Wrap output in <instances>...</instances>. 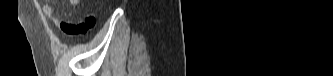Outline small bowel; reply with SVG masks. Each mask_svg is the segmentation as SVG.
Returning <instances> with one entry per match:
<instances>
[{"label":"small bowel","instance_id":"small-bowel-1","mask_svg":"<svg viewBox=\"0 0 333 76\" xmlns=\"http://www.w3.org/2000/svg\"><path fill=\"white\" fill-rule=\"evenodd\" d=\"M72 6L79 7L82 5L80 0H69ZM56 2L54 0H45L43 6V12L45 16L62 32L65 34H71L72 38L78 34L79 39L85 38V33L88 32L95 24V17L92 13H87L85 19L81 23H72L70 21L60 20L55 16Z\"/></svg>","mask_w":333,"mask_h":76}]
</instances>
